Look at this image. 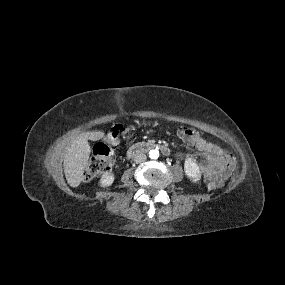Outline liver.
<instances>
[{
  "label": "liver",
  "instance_id": "obj_1",
  "mask_svg": "<svg viewBox=\"0 0 285 285\" xmlns=\"http://www.w3.org/2000/svg\"><path fill=\"white\" fill-rule=\"evenodd\" d=\"M104 136L101 131L81 133L68 148L64 158V173L71 187H78L84 177L91 148L88 140H99Z\"/></svg>",
  "mask_w": 285,
  "mask_h": 285
}]
</instances>
